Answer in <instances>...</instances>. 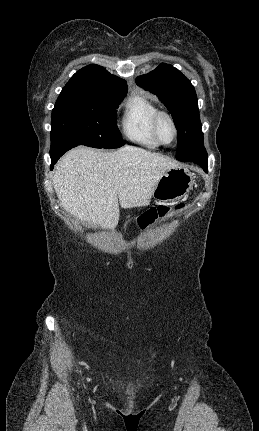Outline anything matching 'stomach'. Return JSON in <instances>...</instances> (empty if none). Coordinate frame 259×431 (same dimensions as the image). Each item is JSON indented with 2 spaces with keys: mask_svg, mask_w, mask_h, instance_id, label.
Returning <instances> with one entry per match:
<instances>
[{
  "mask_svg": "<svg viewBox=\"0 0 259 431\" xmlns=\"http://www.w3.org/2000/svg\"><path fill=\"white\" fill-rule=\"evenodd\" d=\"M194 184L191 172L180 166L167 170L158 181L153 197L157 202H172L185 196Z\"/></svg>",
  "mask_w": 259,
  "mask_h": 431,
  "instance_id": "stomach-1",
  "label": "stomach"
}]
</instances>
